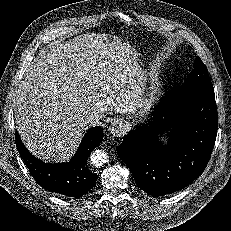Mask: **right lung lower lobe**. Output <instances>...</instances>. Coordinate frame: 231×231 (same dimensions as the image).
Listing matches in <instances>:
<instances>
[{
  "label": "right lung lower lobe",
  "mask_w": 231,
  "mask_h": 231,
  "mask_svg": "<svg viewBox=\"0 0 231 231\" xmlns=\"http://www.w3.org/2000/svg\"><path fill=\"white\" fill-rule=\"evenodd\" d=\"M18 152L37 183L44 189L70 197H81L96 183L97 175L87 167L90 153L102 142L101 127L90 128L83 137L77 152L66 163H44L33 156L16 132Z\"/></svg>",
  "instance_id": "obj_1"
}]
</instances>
